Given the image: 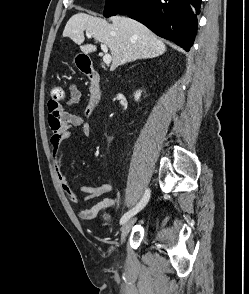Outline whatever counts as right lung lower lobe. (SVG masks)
<instances>
[{
	"label": "right lung lower lobe",
	"mask_w": 249,
	"mask_h": 294,
	"mask_svg": "<svg viewBox=\"0 0 249 294\" xmlns=\"http://www.w3.org/2000/svg\"><path fill=\"white\" fill-rule=\"evenodd\" d=\"M200 4L201 0H128L118 14H127L189 51L197 32Z\"/></svg>",
	"instance_id": "right-lung-lower-lobe-1"
}]
</instances>
